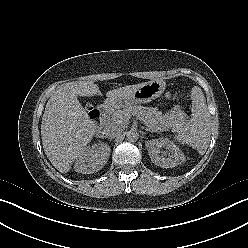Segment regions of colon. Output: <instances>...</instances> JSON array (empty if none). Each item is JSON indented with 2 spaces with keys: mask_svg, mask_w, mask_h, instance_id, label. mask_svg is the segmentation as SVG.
Instances as JSON below:
<instances>
[{
  "mask_svg": "<svg viewBox=\"0 0 248 248\" xmlns=\"http://www.w3.org/2000/svg\"><path fill=\"white\" fill-rule=\"evenodd\" d=\"M180 97L181 96L179 94H177V93H166L165 94L166 99H177V98H180ZM88 113H89V116L92 119H97V109L94 106L89 105Z\"/></svg>",
  "mask_w": 248,
  "mask_h": 248,
  "instance_id": "colon-1",
  "label": "colon"
}]
</instances>
